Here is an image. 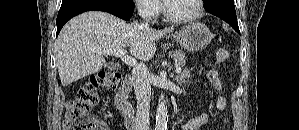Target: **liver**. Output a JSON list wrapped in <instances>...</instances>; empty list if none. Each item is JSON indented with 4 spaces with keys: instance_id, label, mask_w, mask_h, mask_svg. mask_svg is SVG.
Here are the masks:
<instances>
[{
    "instance_id": "liver-1",
    "label": "liver",
    "mask_w": 299,
    "mask_h": 130,
    "mask_svg": "<svg viewBox=\"0 0 299 130\" xmlns=\"http://www.w3.org/2000/svg\"><path fill=\"white\" fill-rule=\"evenodd\" d=\"M174 28L154 30L138 23H126L106 12L89 11L71 19L56 41V66L62 85L69 84L106 66L98 49L128 47L135 58L148 61L156 52V41Z\"/></svg>"
}]
</instances>
